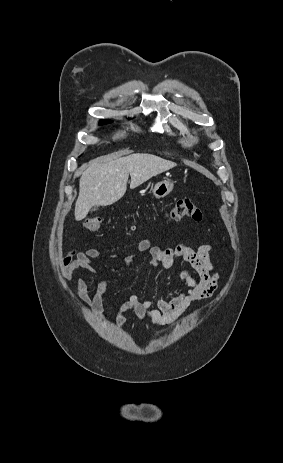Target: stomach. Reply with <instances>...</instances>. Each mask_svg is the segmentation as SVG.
<instances>
[{"label": "stomach", "instance_id": "0dacf381", "mask_svg": "<svg viewBox=\"0 0 283 463\" xmlns=\"http://www.w3.org/2000/svg\"><path fill=\"white\" fill-rule=\"evenodd\" d=\"M173 190V182L164 180L154 185L152 189L153 195L160 199L166 197Z\"/></svg>", "mask_w": 283, "mask_h": 463}]
</instances>
